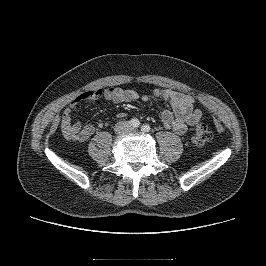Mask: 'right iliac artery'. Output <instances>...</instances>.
<instances>
[{
  "label": "right iliac artery",
  "instance_id": "right-iliac-artery-1",
  "mask_svg": "<svg viewBox=\"0 0 266 266\" xmlns=\"http://www.w3.org/2000/svg\"><path fill=\"white\" fill-rule=\"evenodd\" d=\"M129 124L133 127V128H137L140 125V121L136 118H133L130 120Z\"/></svg>",
  "mask_w": 266,
  "mask_h": 266
}]
</instances>
